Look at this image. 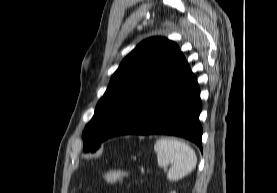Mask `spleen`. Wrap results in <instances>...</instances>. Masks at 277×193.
Instances as JSON below:
<instances>
[{
	"mask_svg": "<svg viewBox=\"0 0 277 193\" xmlns=\"http://www.w3.org/2000/svg\"><path fill=\"white\" fill-rule=\"evenodd\" d=\"M154 151L158 166H173L167 173L170 181H177L188 175L197 164L195 151L185 142L173 138H161L156 141Z\"/></svg>",
	"mask_w": 277,
	"mask_h": 193,
	"instance_id": "3e777b00",
	"label": "spleen"
}]
</instances>
